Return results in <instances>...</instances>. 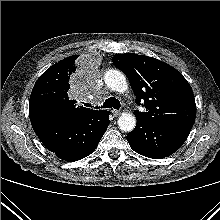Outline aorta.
<instances>
[{
    "label": "aorta",
    "mask_w": 220,
    "mask_h": 220,
    "mask_svg": "<svg viewBox=\"0 0 220 220\" xmlns=\"http://www.w3.org/2000/svg\"><path fill=\"white\" fill-rule=\"evenodd\" d=\"M105 84L113 91L123 93L128 89L125 75L115 69H110L104 74ZM119 128L124 132H131L136 126V117L132 113L124 112L118 119Z\"/></svg>",
    "instance_id": "1"
}]
</instances>
